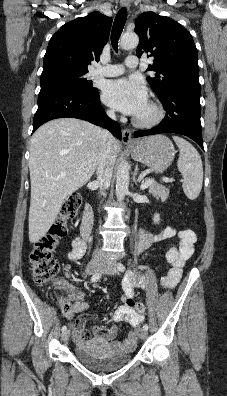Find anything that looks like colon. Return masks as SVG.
<instances>
[{
  "mask_svg": "<svg viewBox=\"0 0 227 396\" xmlns=\"http://www.w3.org/2000/svg\"><path fill=\"white\" fill-rule=\"evenodd\" d=\"M81 204V198L73 194L64 201L60 214L50 228L47 235L38 240L30 253L33 278L40 287L51 285L59 271V264L54 258V252L59 240L68 232L67 222L74 218ZM139 313H143L145 306L133 300L128 302ZM61 308L66 316L71 314V307L66 301H61Z\"/></svg>",
  "mask_w": 227,
  "mask_h": 396,
  "instance_id": "colon-1",
  "label": "colon"
}]
</instances>
